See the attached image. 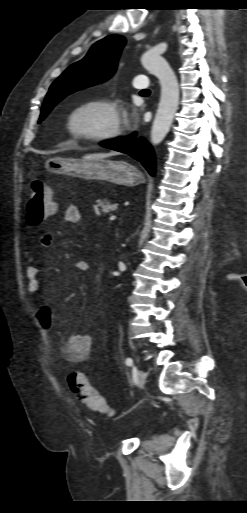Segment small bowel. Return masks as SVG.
Instances as JSON below:
<instances>
[{"label": "small bowel", "instance_id": "1", "mask_svg": "<svg viewBox=\"0 0 247 513\" xmlns=\"http://www.w3.org/2000/svg\"><path fill=\"white\" fill-rule=\"evenodd\" d=\"M63 219L67 223H80L81 213L77 206L69 205L66 207ZM40 244L47 247L53 242V234L44 232L40 236ZM75 268L78 270H87L88 266L84 262H77ZM27 290L31 294H39L42 290L41 269L37 265H30L27 268ZM40 324L52 332L58 340L59 353L63 360L70 363H79L87 360L91 354L93 338L89 334L65 333L56 325V312L53 307L42 306L35 314Z\"/></svg>", "mask_w": 247, "mask_h": 513}]
</instances>
